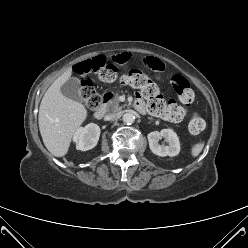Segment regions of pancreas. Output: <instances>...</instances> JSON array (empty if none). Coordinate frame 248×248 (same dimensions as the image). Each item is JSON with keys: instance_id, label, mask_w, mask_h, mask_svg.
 <instances>
[{"instance_id": "pancreas-1", "label": "pancreas", "mask_w": 248, "mask_h": 248, "mask_svg": "<svg viewBox=\"0 0 248 248\" xmlns=\"http://www.w3.org/2000/svg\"><path fill=\"white\" fill-rule=\"evenodd\" d=\"M124 106L120 105L118 95H115L107 104V110L111 112H120Z\"/></svg>"}]
</instances>
